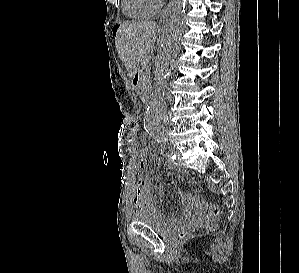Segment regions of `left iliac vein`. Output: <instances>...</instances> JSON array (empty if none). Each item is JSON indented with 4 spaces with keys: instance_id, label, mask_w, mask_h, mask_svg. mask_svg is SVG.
Returning <instances> with one entry per match:
<instances>
[{
    "instance_id": "1",
    "label": "left iliac vein",
    "mask_w": 299,
    "mask_h": 273,
    "mask_svg": "<svg viewBox=\"0 0 299 273\" xmlns=\"http://www.w3.org/2000/svg\"><path fill=\"white\" fill-rule=\"evenodd\" d=\"M173 152L179 156V150L178 149H174Z\"/></svg>"
}]
</instances>
